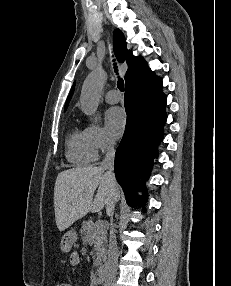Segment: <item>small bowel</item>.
I'll list each match as a JSON object with an SVG mask.
<instances>
[{
  "label": "small bowel",
  "instance_id": "obj_1",
  "mask_svg": "<svg viewBox=\"0 0 231 286\" xmlns=\"http://www.w3.org/2000/svg\"><path fill=\"white\" fill-rule=\"evenodd\" d=\"M80 262V257H79V254L76 253V252H73L71 255H70V263L72 266H77Z\"/></svg>",
  "mask_w": 231,
  "mask_h": 286
}]
</instances>
